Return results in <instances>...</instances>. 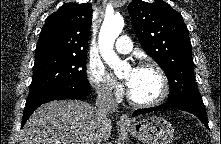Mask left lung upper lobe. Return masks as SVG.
I'll use <instances>...</instances> for the list:
<instances>
[{
    "label": "left lung upper lobe",
    "instance_id": "left-lung-upper-lobe-1",
    "mask_svg": "<svg viewBox=\"0 0 221 144\" xmlns=\"http://www.w3.org/2000/svg\"><path fill=\"white\" fill-rule=\"evenodd\" d=\"M128 12L142 48L168 78V101L203 103L194 78L189 32L181 14L162 0H134L128 5Z\"/></svg>",
    "mask_w": 221,
    "mask_h": 144
}]
</instances>
